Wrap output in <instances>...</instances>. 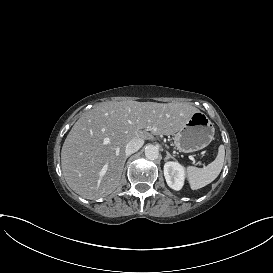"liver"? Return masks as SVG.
<instances>
[{
  "label": "liver",
  "instance_id": "6515ba94",
  "mask_svg": "<svg viewBox=\"0 0 273 273\" xmlns=\"http://www.w3.org/2000/svg\"><path fill=\"white\" fill-rule=\"evenodd\" d=\"M197 112L200 110L187 103L127 100L95 105L79 118L64 141L61 166L68 186L90 200L111 194L119 186L131 139L172 135ZM102 168L107 169L105 174Z\"/></svg>",
  "mask_w": 273,
  "mask_h": 273
}]
</instances>
